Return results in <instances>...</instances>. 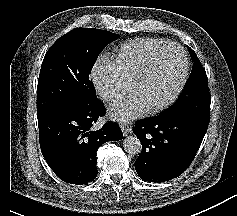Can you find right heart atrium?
<instances>
[{
  "instance_id": "1",
  "label": "right heart atrium",
  "mask_w": 237,
  "mask_h": 216,
  "mask_svg": "<svg viewBox=\"0 0 237 216\" xmlns=\"http://www.w3.org/2000/svg\"><path fill=\"white\" fill-rule=\"evenodd\" d=\"M92 83L97 94L102 98H120L121 78L106 64H99L92 72Z\"/></svg>"
}]
</instances>
